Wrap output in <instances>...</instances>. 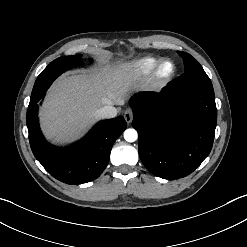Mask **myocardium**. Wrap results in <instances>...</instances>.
Wrapping results in <instances>:
<instances>
[{
    "instance_id": "1",
    "label": "myocardium",
    "mask_w": 247,
    "mask_h": 247,
    "mask_svg": "<svg viewBox=\"0 0 247 247\" xmlns=\"http://www.w3.org/2000/svg\"><path fill=\"white\" fill-rule=\"evenodd\" d=\"M166 63H171L173 69L169 74L164 75L162 74V67ZM176 73H177V66L175 62L171 59H162L159 61V63L156 65V67L152 72V82L158 86L165 85L175 77Z\"/></svg>"
}]
</instances>
